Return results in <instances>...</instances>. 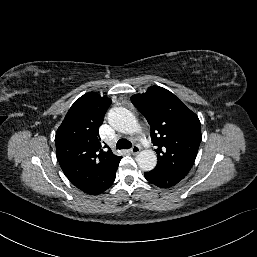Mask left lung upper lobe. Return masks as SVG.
<instances>
[{
  "label": "left lung upper lobe",
  "mask_w": 257,
  "mask_h": 257,
  "mask_svg": "<svg viewBox=\"0 0 257 257\" xmlns=\"http://www.w3.org/2000/svg\"><path fill=\"white\" fill-rule=\"evenodd\" d=\"M131 102L151 127L158 158L154 169L183 179L194 164L201 142L198 116L173 93L159 86L133 95Z\"/></svg>",
  "instance_id": "left-lung-upper-lobe-1"
}]
</instances>
